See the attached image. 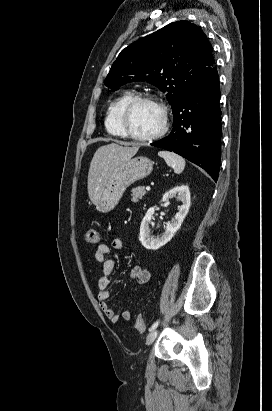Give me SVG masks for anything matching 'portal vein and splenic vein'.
Returning <instances> with one entry per match:
<instances>
[{
    "instance_id": "obj_1",
    "label": "portal vein and splenic vein",
    "mask_w": 272,
    "mask_h": 411,
    "mask_svg": "<svg viewBox=\"0 0 272 411\" xmlns=\"http://www.w3.org/2000/svg\"><path fill=\"white\" fill-rule=\"evenodd\" d=\"M146 190H150V186H146Z\"/></svg>"
}]
</instances>
